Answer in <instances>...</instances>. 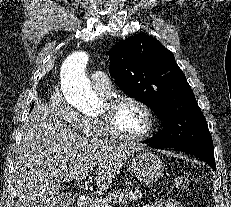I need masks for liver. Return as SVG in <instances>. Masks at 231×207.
<instances>
[{
    "instance_id": "obj_1",
    "label": "liver",
    "mask_w": 231,
    "mask_h": 207,
    "mask_svg": "<svg viewBox=\"0 0 231 207\" xmlns=\"http://www.w3.org/2000/svg\"><path fill=\"white\" fill-rule=\"evenodd\" d=\"M143 148L81 137L57 110L37 103L28 116L14 164L15 207H55L61 182L82 180L90 171L97 187L106 190L124 162Z\"/></svg>"
}]
</instances>
